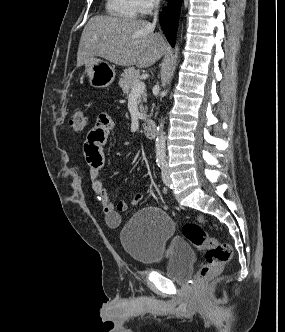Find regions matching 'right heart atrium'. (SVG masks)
<instances>
[{
    "label": "right heart atrium",
    "mask_w": 285,
    "mask_h": 332,
    "mask_svg": "<svg viewBox=\"0 0 285 332\" xmlns=\"http://www.w3.org/2000/svg\"><path fill=\"white\" fill-rule=\"evenodd\" d=\"M137 11L140 14H148L158 6L159 0H135Z\"/></svg>",
    "instance_id": "obj_1"
}]
</instances>
